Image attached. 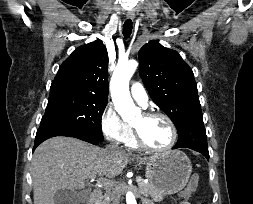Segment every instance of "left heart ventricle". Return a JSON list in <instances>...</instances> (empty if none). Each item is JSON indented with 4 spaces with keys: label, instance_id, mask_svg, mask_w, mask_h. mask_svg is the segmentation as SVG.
Segmentation results:
<instances>
[{
    "label": "left heart ventricle",
    "instance_id": "1",
    "mask_svg": "<svg viewBox=\"0 0 253 204\" xmlns=\"http://www.w3.org/2000/svg\"><path fill=\"white\" fill-rule=\"evenodd\" d=\"M144 141L154 148H163L171 140V129L168 123L160 117L145 118L142 114L134 121Z\"/></svg>",
    "mask_w": 253,
    "mask_h": 204
}]
</instances>
